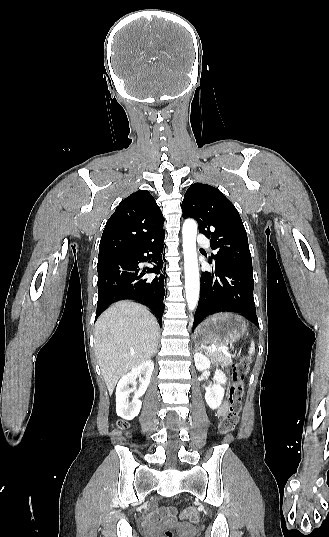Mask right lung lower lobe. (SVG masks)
Segmentation results:
<instances>
[{
	"label": "right lung lower lobe",
	"instance_id": "right-lung-lower-lobe-1",
	"mask_svg": "<svg viewBox=\"0 0 329 537\" xmlns=\"http://www.w3.org/2000/svg\"><path fill=\"white\" fill-rule=\"evenodd\" d=\"M164 235L131 252L98 258V302L96 318L113 302L134 299L149 306L162 323L165 296ZM149 262L153 268H139V263ZM155 273L156 276H146Z\"/></svg>",
	"mask_w": 329,
	"mask_h": 537
}]
</instances>
